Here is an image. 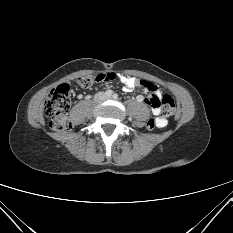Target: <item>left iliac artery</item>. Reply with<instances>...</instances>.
<instances>
[{"label": "left iliac artery", "instance_id": "44dca946", "mask_svg": "<svg viewBox=\"0 0 233 233\" xmlns=\"http://www.w3.org/2000/svg\"><path fill=\"white\" fill-rule=\"evenodd\" d=\"M112 97H113V99H118V95L117 94H114Z\"/></svg>", "mask_w": 233, "mask_h": 233}]
</instances>
